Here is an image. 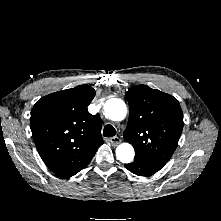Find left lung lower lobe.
<instances>
[{
	"label": "left lung lower lobe",
	"mask_w": 221,
	"mask_h": 221,
	"mask_svg": "<svg viewBox=\"0 0 221 221\" xmlns=\"http://www.w3.org/2000/svg\"><path fill=\"white\" fill-rule=\"evenodd\" d=\"M165 163L153 161L149 159L139 158L135 156V160L131 164H125V167L132 173L139 176H150L159 171Z\"/></svg>",
	"instance_id": "left-lung-lower-lobe-1"
}]
</instances>
